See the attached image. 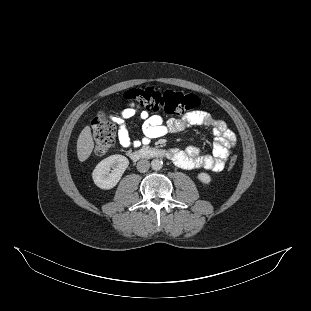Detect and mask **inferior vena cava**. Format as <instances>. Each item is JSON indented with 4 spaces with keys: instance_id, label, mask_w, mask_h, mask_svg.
<instances>
[{
    "instance_id": "1",
    "label": "inferior vena cava",
    "mask_w": 311,
    "mask_h": 311,
    "mask_svg": "<svg viewBox=\"0 0 311 311\" xmlns=\"http://www.w3.org/2000/svg\"><path fill=\"white\" fill-rule=\"evenodd\" d=\"M150 168V162L146 159H141L137 163V170L141 173H145Z\"/></svg>"
}]
</instances>
